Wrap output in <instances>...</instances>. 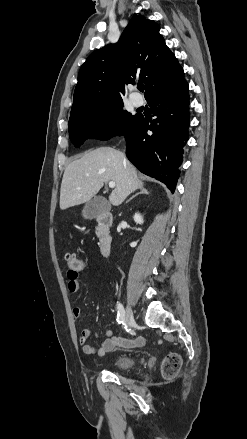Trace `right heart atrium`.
<instances>
[{"label": "right heart atrium", "mask_w": 247, "mask_h": 439, "mask_svg": "<svg viewBox=\"0 0 247 439\" xmlns=\"http://www.w3.org/2000/svg\"><path fill=\"white\" fill-rule=\"evenodd\" d=\"M112 124H113V118L111 116H106L102 120L101 126L103 129H108L112 126Z\"/></svg>", "instance_id": "right-heart-atrium-1"}]
</instances>
